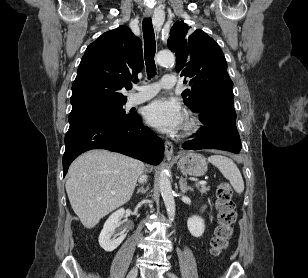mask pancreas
I'll list each match as a JSON object with an SVG mask.
<instances>
[{"instance_id": "obj_1", "label": "pancreas", "mask_w": 308, "mask_h": 278, "mask_svg": "<svg viewBox=\"0 0 308 278\" xmlns=\"http://www.w3.org/2000/svg\"><path fill=\"white\" fill-rule=\"evenodd\" d=\"M196 187L202 194H205L209 190L205 185H197Z\"/></svg>"}]
</instances>
